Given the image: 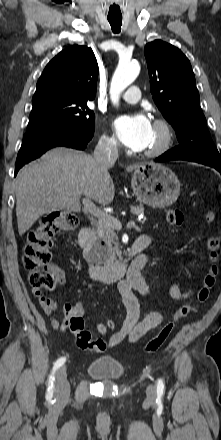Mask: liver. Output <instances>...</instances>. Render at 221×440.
Instances as JSON below:
<instances>
[{"mask_svg": "<svg viewBox=\"0 0 221 440\" xmlns=\"http://www.w3.org/2000/svg\"><path fill=\"white\" fill-rule=\"evenodd\" d=\"M139 165L127 166L128 171ZM110 166H100L87 153L57 147L23 167L15 179L18 232L22 236L45 214L80 212L83 195L109 205L115 195Z\"/></svg>", "mask_w": 221, "mask_h": 440, "instance_id": "1", "label": "liver"}]
</instances>
